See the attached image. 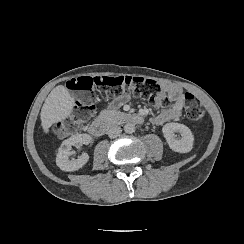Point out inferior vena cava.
<instances>
[{
  "mask_svg": "<svg viewBox=\"0 0 244 244\" xmlns=\"http://www.w3.org/2000/svg\"><path fill=\"white\" fill-rule=\"evenodd\" d=\"M121 132H122L121 127H119L117 125H113L108 130V136L110 138H116V137H118L121 134Z\"/></svg>",
  "mask_w": 244,
  "mask_h": 244,
  "instance_id": "inferior-vena-cava-1",
  "label": "inferior vena cava"
}]
</instances>
